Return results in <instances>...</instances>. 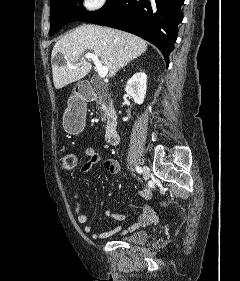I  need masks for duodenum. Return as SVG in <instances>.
I'll list each match as a JSON object with an SVG mask.
<instances>
[{"mask_svg": "<svg viewBox=\"0 0 240 281\" xmlns=\"http://www.w3.org/2000/svg\"><path fill=\"white\" fill-rule=\"evenodd\" d=\"M79 95L84 100H92L95 98V92L92 87L85 86L79 90ZM105 140L108 144L115 145L119 142V133L117 129V119L114 114L109 116L105 128Z\"/></svg>", "mask_w": 240, "mask_h": 281, "instance_id": "obj_1", "label": "duodenum"}]
</instances>
